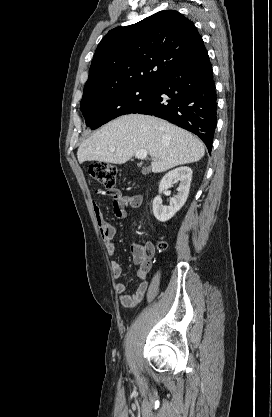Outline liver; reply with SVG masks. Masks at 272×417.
Returning <instances> with one entry per match:
<instances>
[{
	"label": "liver",
	"instance_id": "6515ba94",
	"mask_svg": "<svg viewBox=\"0 0 272 417\" xmlns=\"http://www.w3.org/2000/svg\"><path fill=\"white\" fill-rule=\"evenodd\" d=\"M139 150L153 158V173L197 162L205 154L201 140L188 131L154 116L129 114L110 121L83 141L77 157L80 164H124Z\"/></svg>",
	"mask_w": 272,
	"mask_h": 417
}]
</instances>
